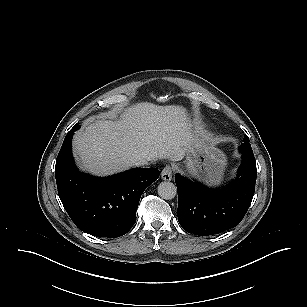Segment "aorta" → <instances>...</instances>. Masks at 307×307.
<instances>
[{"mask_svg": "<svg viewBox=\"0 0 307 307\" xmlns=\"http://www.w3.org/2000/svg\"><path fill=\"white\" fill-rule=\"evenodd\" d=\"M177 194L176 186L169 181L161 182L158 185V195L165 200L173 199Z\"/></svg>", "mask_w": 307, "mask_h": 307, "instance_id": "obj_1", "label": "aorta"}]
</instances>
